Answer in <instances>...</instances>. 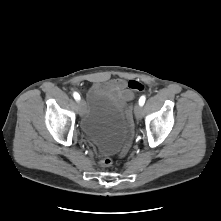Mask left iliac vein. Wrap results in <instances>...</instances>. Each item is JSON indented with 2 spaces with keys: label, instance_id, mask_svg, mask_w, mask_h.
Returning a JSON list of instances; mask_svg holds the SVG:
<instances>
[{
  "label": "left iliac vein",
  "instance_id": "left-iliac-vein-1",
  "mask_svg": "<svg viewBox=\"0 0 221 221\" xmlns=\"http://www.w3.org/2000/svg\"><path fill=\"white\" fill-rule=\"evenodd\" d=\"M134 113L137 119H141L143 116V108L140 104H137L134 108Z\"/></svg>",
  "mask_w": 221,
  "mask_h": 221
}]
</instances>
